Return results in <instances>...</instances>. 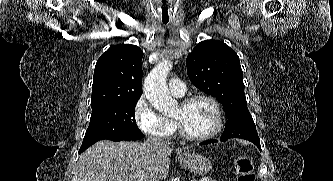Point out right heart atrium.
<instances>
[{
	"instance_id": "d8ad5b80",
	"label": "right heart atrium",
	"mask_w": 333,
	"mask_h": 181,
	"mask_svg": "<svg viewBox=\"0 0 333 181\" xmlns=\"http://www.w3.org/2000/svg\"><path fill=\"white\" fill-rule=\"evenodd\" d=\"M133 115L138 128L148 136L168 139L176 130V124L159 114L144 96L135 103Z\"/></svg>"
}]
</instances>
